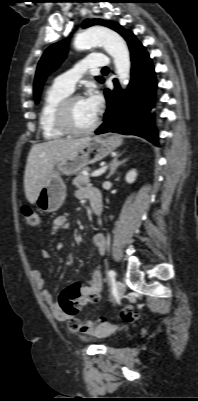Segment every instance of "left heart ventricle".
<instances>
[{
  "label": "left heart ventricle",
  "mask_w": 198,
  "mask_h": 401,
  "mask_svg": "<svg viewBox=\"0 0 198 401\" xmlns=\"http://www.w3.org/2000/svg\"><path fill=\"white\" fill-rule=\"evenodd\" d=\"M70 116L71 122L75 127L86 128L94 122L97 113L90 108L85 98H83L76 100L72 104Z\"/></svg>",
  "instance_id": "b2bd125f"
}]
</instances>
